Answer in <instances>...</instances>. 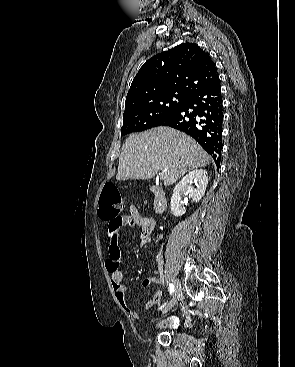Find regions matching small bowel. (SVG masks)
Masks as SVG:
<instances>
[{
	"label": "small bowel",
	"instance_id": "c3829d8e",
	"mask_svg": "<svg viewBox=\"0 0 295 367\" xmlns=\"http://www.w3.org/2000/svg\"><path fill=\"white\" fill-rule=\"evenodd\" d=\"M126 226H137L140 228V246H145L151 241L152 233L155 228V221L151 217L141 215L137 208L134 206H131L129 208L128 214L121 216L118 220L108 221L107 239L109 254L108 258L105 261V267L110 274V280L117 302L126 313H128L132 317H137V312L127 303L126 289L122 283L123 272L119 267V239L122 228ZM158 283H160L159 278L147 277L143 279L142 286L148 287L152 284ZM161 298L162 291L158 290L146 302L145 308L151 309L160 302Z\"/></svg>",
	"mask_w": 295,
	"mask_h": 367
}]
</instances>
